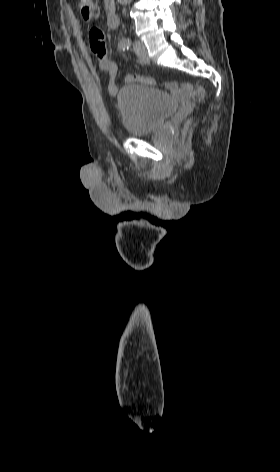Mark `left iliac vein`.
Instances as JSON below:
<instances>
[{
  "instance_id": "1",
  "label": "left iliac vein",
  "mask_w": 280,
  "mask_h": 472,
  "mask_svg": "<svg viewBox=\"0 0 280 472\" xmlns=\"http://www.w3.org/2000/svg\"><path fill=\"white\" fill-rule=\"evenodd\" d=\"M133 49H134V52L136 53L137 57L144 63L148 64L150 62V59H149V56H148V53H147V49L145 47V45L139 41V40H136L133 42Z\"/></svg>"
}]
</instances>
